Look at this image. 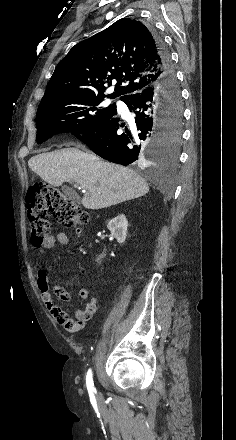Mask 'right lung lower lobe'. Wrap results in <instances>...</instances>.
Listing matches in <instances>:
<instances>
[{"mask_svg": "<svg viewBox=\"0 0 236 440\" xmlns=\"http://www.w3.org/2000/svg\"><path fill=\"white\" fill-rule=\"evenodd\" d=\"M150 31L158 48L162 75L154 84L121 99L134 114L129 128L115 111L108 120L75 135L97 155L122 165H147L155 159L166 127L182 122L181 97L180 92L176 96L179 88L169 53L162 38ZM146 144L150 149L147 153Z\"/></svg>", "mask_w": 236, "mask_h": 440, "instance_id": "1", "label": "right lung lower lobe"}]
</instances>
